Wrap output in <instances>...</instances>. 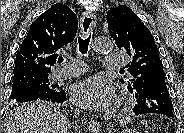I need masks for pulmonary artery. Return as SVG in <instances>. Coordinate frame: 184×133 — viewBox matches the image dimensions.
<instances>
[{
  "label": "pulmonary artery",
  "instance_id": "obj_1",
  "mask_svg": "<svg viewBox=\"0 0 184 133\" xmlns=\"http://www.w3.org/2000/svg\"><path fill=\"white\" fill-rule=\"evenodd\" d=\"M126 64V58L122 54H110L104 58L103 69L105 70H120ZM86 67L81 61H74L73 65L57 69L53 73V79L62 81L67 78L77 76L85 72Z\"/></svg>",
  "mask_w": 184,
  "mask_h": 133
}]
</instances>
